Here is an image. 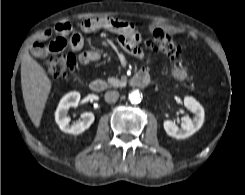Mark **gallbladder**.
I'll return each instance as SVG.
<instances>
[{
	"mask_svg": "<svg viewBox=\"0 0 245 195\" xmlns=\"http://www.w3.org/2000/svg\"><path fill=\"white\" fill-rule=\"evenodd\" d=\"M48 54L47 49L41 51V56H46Z\"/></svg>",
	"mask_w": 245,
	"mask_h": 195,
	"instance_id": "gallbladder-1",
	"label": "gallbladder"
}]
</instances>
